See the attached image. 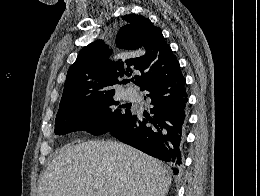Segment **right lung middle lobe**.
<instances>
[{
	"label": "right lung middle lobe",
	"instance_id": "right-lung-middle-lobe-1",
	"mask_svg": "<svg viewBox=\"0 0 260 196\" xmlns=\"http://www.w3.org/2000/svg\"><path fill=\"white\" fill-rule=\"evenodd\" d=\"M114 92L94 94L80 99L58 111L55 120V134L65 135L84 130L94 135L110 132L129 120L134 112L113 99Z\"/></svg>",
	"mask_w": 260,
	"mask_h": 196
}]
</instances>
